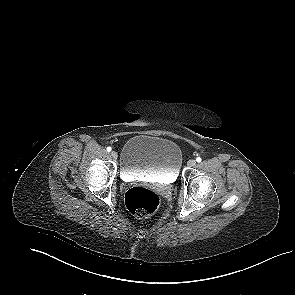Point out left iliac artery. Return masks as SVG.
I'll return each instance as SVG.
<instances>
[{
  "mask_svg": "<svg viewBox=\"0 0 295 295\" xmlns=\"http://www.w3.org/2000/svg\"><path fill=\"white\" fill-rule=\"evenodd\" d=\"M201 160H202V159H201L200 157H197V158H196V161H197V162H201Z\"/></svg>",
  "mask_w": 295,
  "mask_h": 295,
  "instance_id": "obj_1",
  "label": "left iliac artery"
}]
</instances>
